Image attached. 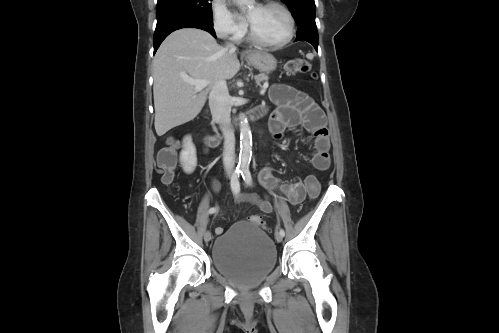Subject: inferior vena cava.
<instances>
[{
	"label": "inferior vena cava",
	"instance_id": "obj_1",
	"mask_svg": "<svg viewBox=\"0 0 499 333\" xmlns=\"http://www.w3.org/2000/svg\"><path fill=\"white\" fill-rule=\"evenodd\" d=\"M227 48L235 50L233 44ZM209 106L213 119L219 123L224 136L223 165L227 173H232L235 166V136L231 127V103L225 79L217 80L209 94Z\"/></svg>",
	"mask_w": 499,
	"mask_h": 333
}]
</instances>
